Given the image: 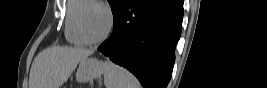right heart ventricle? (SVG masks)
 I'll return each instance as SVG.
<instances>
[{
    "label": "right heart ventricle",
    "instance_id": "1",
    "mask_svg": "<svg viewBox=\"0 0 267 88\" xmlns=\"http://www.w3.org/2000/svg\"><path fill=\"white\" fill-rule=\"evenodd\" d=\"M91 2L92 0H71L67 3L64 33L67 41L73 45L83 46L87 44L79 34L77 18L81 10Z\"/></svg>",
    "mask_w": 267,
    "mask_h": 88
}]
</instances>
